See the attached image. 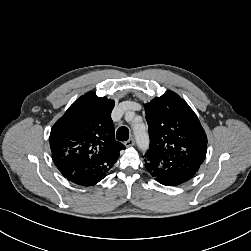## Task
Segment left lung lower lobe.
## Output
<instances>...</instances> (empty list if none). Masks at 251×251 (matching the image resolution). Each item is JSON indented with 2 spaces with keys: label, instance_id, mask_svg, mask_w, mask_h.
<instances>
[{
  "label": "left lung lower lobe",
  "instance_id": "obj_1",
  "mask_svg": "<svg viewBox=\"0 0 251 251\" xmlns=\"http://www.w3.org/2000/svg\"><path fill=\"white\" fill-rule=\"evenodd\" d=\"M145 167L159 183L175 186L191 179L200 164L192 161L169 160L162 157L161 154L147 152L145 154Z\"/></svg>",
  "mask_w": 251,
  "mask_h": 251
}]
</instances>
